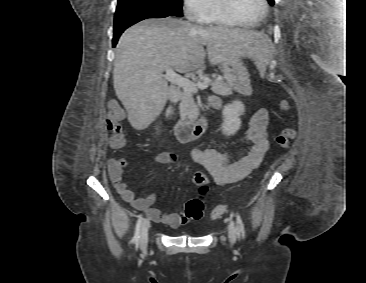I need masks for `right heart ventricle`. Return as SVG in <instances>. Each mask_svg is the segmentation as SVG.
Segmentation results:
<instances>
[{
    "instance_id": "1",
    "label": "right heart ventricle",
    "mask_w": 366,
    "mask_h": 283,
    "mask_svg": "<svg viewBox=\"0 0 366 283\" xmlns=\"http://www.w3.org/2000/svg\"><path fill=\"white\" fill-rule=\"evenodd\" d=\"M202 23L216 25L224 28H231L236 26L230 21L219 9L217 0H210L207 13L201 19Z\"/></svg>"
}]
</instances>
